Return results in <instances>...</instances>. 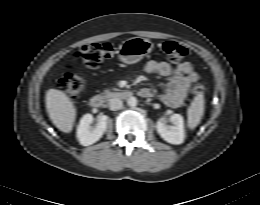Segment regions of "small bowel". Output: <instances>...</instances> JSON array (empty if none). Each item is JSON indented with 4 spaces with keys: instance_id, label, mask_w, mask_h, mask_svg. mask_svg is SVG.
<instances>
[{
    "instance_id": "c3829d8e",
    "label": "small bowel",
    "mask_w": 260,
    "mask_h": 205,
    "mask_svg": "<svg viewBox=\"0 0 260 205\" xmlns=\"http://www.w3.org/2000/svg\"><path fill=\"white\" fill-rule=\"evenodd\" d=\"M148 74L169 78L165 92L161 95V101L170 108L180 107L185 101L189 87L199 78L197 72L189 62H183L173 68L166 61H148L145 65ZM141 96L152 95L150 89L143 88Z\"/></svg>"
}]
</instances>
